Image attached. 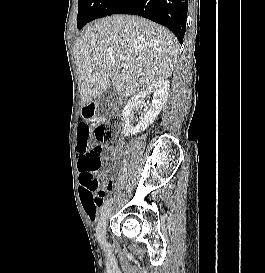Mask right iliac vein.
<instances>
[{"instance_id": "63e3f726", "label": "right iliac vein", "mask_w": 265, "mask_h": 273, "mask_svg": "<svg viewBox=\"0 0 265 273\" xmlns=\"http://www.w3.org/2000/svg\"><path fill=\"white\" fill-rule=\"evenodd\" d=\"M111 210L110 209H105L99 220H98V224H97V228H96V233H97V238L99 243L102 246H105L106 243V222L108 217L110 216Z\"/></svg>"}]
</instances>
